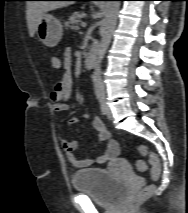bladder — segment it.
I'll use <instances>...</instances> for the list:
<instances>
[{"instance_id":"obj_1","label":"bladder","mask_w":188,"mask_h":213,"mask_svg":"<svg viewBox=\"0 0 188 213\" xmlns=\"http://www.w3.org/2000/svg\"><path fill=\"white\" fill-rule=\"evenodd\" d=\"M75 190L88 195L101 206L111 207L122 198L128 190L126 181L119 180L103 168L78 170L72 175Z\"/></svg>"}]
</instances>
